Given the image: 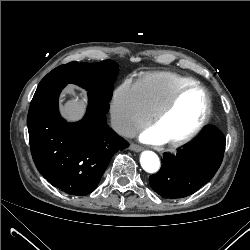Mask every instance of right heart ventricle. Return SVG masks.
<instances>
[{
	"label": "right heart ventricle",
	"mask_w": 250,
	"mask_h": 250,
	"mask_svg": "<svg viewBox=\"0 0 250 250\" xmlns=\"http://www.w3.org/2000/svg\"><path fill=\"white\" fill-rule=\"evenodd\" d=\"M194 79L167 71L153 72L140 77L136 86L151 117L169 100L182 85Z\"/></svg>",
	"instance_id": "1"
}]
</instances>
